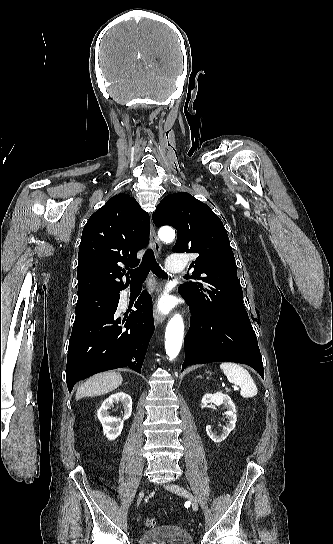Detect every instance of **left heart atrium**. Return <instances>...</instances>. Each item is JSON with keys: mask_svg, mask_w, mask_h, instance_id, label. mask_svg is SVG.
<instances>
[{"mask_svg": "<svg viewBox=\"0 0 333 544\" xmlns=\"http://www.w3.org/2000/svg\"><path fill=\"white\" fill-rule=\"evenodd\" d=\"M171 305H172V303H171V300L169 298H164L159 303V307L163 312L168 311L170 309Z\"/></svg>", "mask_w": 333, "mask_h": 544, "instance_id": "39dd6f15", "label": "left heart atrium"}]
</instances>
